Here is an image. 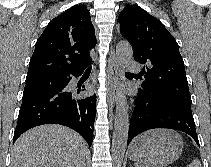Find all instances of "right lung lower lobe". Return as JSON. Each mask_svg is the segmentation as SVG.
<instances>
[{
  "label": "right lung lower lobe",
  "mask_w": 211,
  "mask_h": 167,
  "mask_svg": "<svg viewBox=\"0 0 211 167\" xmlns=\"http://www.w3.org/2000/svg\"><path fill=\"white\" fill-rule=\"evenodd\" d=\"M84 69L52 76L60 80L59 87L23 92L13 142L35 126L60 124L72 128L88 145L92 144L96 96L79 98L77 95L83 91L81 88L70 90L67 87L72 76H80Z\"/></svg>",
  "instance_id": "obj_1"
}]
</instances>
